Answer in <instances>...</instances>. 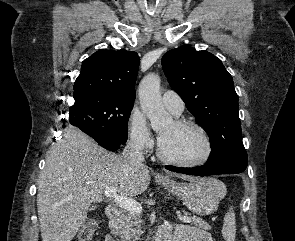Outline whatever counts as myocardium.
Masks as SVG:
<instances>
[{
	"label": "myocardium",
	"instance_id": "myocardium-1",
	"mask_svg": "<svg viewBox=\"0 0 295 241\" xmlns=\"http://www.w3.org/2000/svg\"><path fill=\"white\" fill-rule=\"evenodd\" d=\"M174 124L181 128L195 129L201 135V137L203 138L205 142V153L203 154L201 158L194 161L186 162V161L176 160L167 156L164 153L161 140H160L158 143V148H157L158 158L167 164L174 165L177 167H182V168H195V167H199L206 164L212 158L214 153L213 140L210 134L208 133V131L202 125L190 120H175Z\"/></svg>",
	"mask_w": 295,
	"mask_h": 241
}]
</instances>
